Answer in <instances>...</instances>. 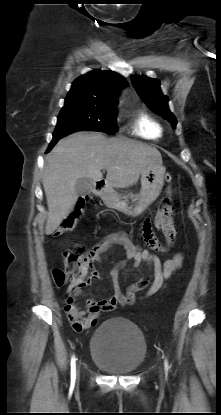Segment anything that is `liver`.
Listing matches in <instances>:
<instances>
[{"mask_svg": "<svg viewBox=\"0 0 221 415\" xmlns=\"http://www.w3.org/2000/svg\"><path fill=\"white\" fill-rule=\"evenodd\" d=\"M151 165H162L160 152L144 143L122 137L106 138L99 132H76L61 139L46 157L43 188L48 216L46 235L52 234L74 208L75 183L87 177L102 180L107 170L109 189L127 188Z\"/></svg>", "mask_w": 221, "mask_h": 415, "instance_id": "liver-1", "label": "liver"}]
</instances>
